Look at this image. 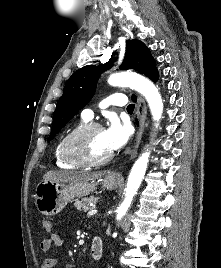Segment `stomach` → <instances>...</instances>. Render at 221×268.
Segmentation results:
<instances>
[{"instance_id":"0dacf381","label":"stomach","mask_w":221,"mask_h":268,"mask_svg":"<svg viewBox=\"0 0 221 268\" xmlns=\"http://www.w3.org/2000/svg\"><path fill=\"white\" fill-rule=\"evenodd\" d=\"M101 181L104 188L112 190L118 186L120 178L113 177L111 173H107ZM96 186V181L74 184L42 181L35 189V205L41 214L53 216L65 208L67 203L74 198L82 197L93 192Z\"/></svg>"}]
</instances>
